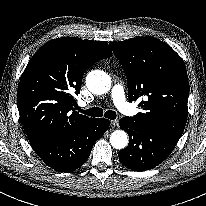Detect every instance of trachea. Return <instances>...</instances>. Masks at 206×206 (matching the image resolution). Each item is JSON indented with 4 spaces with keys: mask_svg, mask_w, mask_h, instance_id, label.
<instances>
[{
    "mask_svg": "<svg viewBox=\"0 0 206 206\" xmlns=\"http://www.w3.org/2000/svg\"><path fill=\"white\" fill-rule=\"evenodd\" d=\"M80 111L88 116H93V117H102L103 116V109L99 107H92L88 110H81ZM116 112L112 110H108L104 113V117L107 119L113 120L116 118Z\"/></svg>",
    "mask_w": 206,
    "mask_h": 206,
    "instance_id": "trachea-1",
    "label": "trachea"
}]
</instances>
